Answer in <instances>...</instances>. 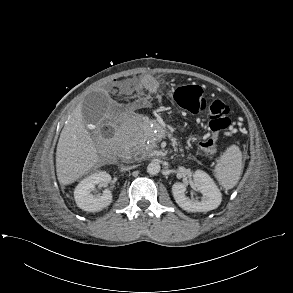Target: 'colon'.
I'll use <instances>...</instances> for the list:
<instances>
[{
    "label": "colon",
    "instance_id": "1",
    "mask_svg": "<svg viewBox=\"0 0 293 293\" xmlns=\"http://www.w3.org/2000/svg\"><path fill=\"white\" fill-rule=\"evenodd\" d=\"M130 86V84L121 83L117 88L127 89ZM173 99L180 108L191 114L207 113L209 115L208 128L210 134L200 141V146L209 155H215L218 151L216 146L218 134L231 125L229 106L221 100L208 101L203 94L202 88L198 85L177 87L173 91ZM112 133L110 128L104 130L106 136H111Z\"/></svg>",
    "mask_w": 293,
    "mask_h": 293
}]
</instances>
